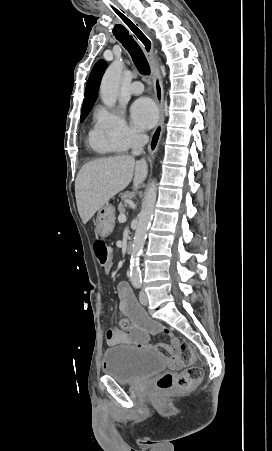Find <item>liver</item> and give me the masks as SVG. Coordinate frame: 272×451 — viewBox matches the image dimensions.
<instances>
[{
  "label": "liver",
  "mask_w": 272,
  "mask_h": 451,
  "mask_svg": "<svg viewBox=\"0 0 272 451\" xmlns=\"http://www.w3.org/2000/svg\"><path fill=\"white\" fill-rule=\"evenodd\" d=\"M148 174L146 160L135 162L132 156H114L93 160L82 166L75 180V196L79 216L87 224L110 198L125 190L133 176L134 190Z\"/></svg>",
  "instance_id": "1"
}]
</instances>
